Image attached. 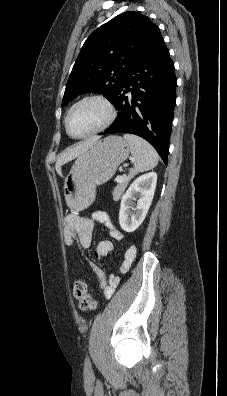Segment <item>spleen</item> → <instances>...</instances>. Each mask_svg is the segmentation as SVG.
Segmentation results:
<instances>
[{
  "mask_svg": "<svg viewBox=\"0 0 227 396\" xmlns=\"http://www.w3.org/2000/svg\"><path fill=\"white\" fill-rule=\"evenodd\" d=\"M123 137L129 144L136 172L153 169L158 164V154L147 141L133 134H124Z\"/></svg>",
  "mask_w": 227,
  "mask_h": 396,
  "instance_id": "3e777b00",
  "label": "spleen"
}]
</instances>
